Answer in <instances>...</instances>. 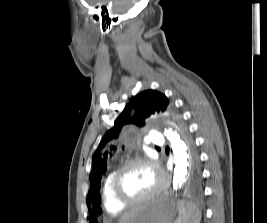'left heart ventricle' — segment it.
Returning a JSON list of instances; mask_svg holds the SVG:
<instances>
[{"label": "left heart ventricle", "instance_id": "obj_1", "mask_svg": "<svg viewBox=\"0 0 267 223\" xmlns=\"http://www.w3.org/2000/svg\"><path fill=\"white\" fill-rule=\"evenodd\" d=\"M157 176L147 165L130 167L122 176L119 189L123 197L138 199L151 192L157 185Z\"/></svg>", "mask_w": 267, "mask_h": 223}]
</instances>
